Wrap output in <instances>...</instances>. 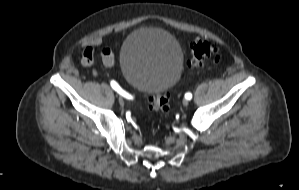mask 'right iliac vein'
Returning <instances> with one entry per match:
<instances>
[{
  "mask_svg": "<svg viewBox=\"0 0 299 190\" xmlns=\"http://www.w3.org/2000/svg\"><path fill=\"white\" fill-rule=\"evenodd\" d=\"M119 103H120L121 105L124 104V99H123L122 97H119Z\"/></svg>",
  "mask_w": 299,
  "mask_h": 190,
  "instance_id": "obj_1",
  "label": "right iliac vein"
}]
</instances>
